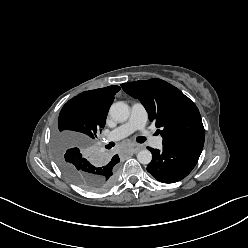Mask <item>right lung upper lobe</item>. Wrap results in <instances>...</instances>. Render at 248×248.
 Listing matches in <instances>:
<instances>
[{
    "mask_svg": "<svg viewBox=\"0 0 248 248\" xmlns=\"http://www.w3.org/2000/svg\"><path fill=\"white\" fill-rule=\"evenodd\" d=\"M120 90L119 86H108L105 88L85 91L78 96L85 102V107L91 113L107 117L109 108L114 100V95ZM112 161L118 162L119 158L115 155Z\"/></svg>",
    "mask_w": 248,
    "mask_h": 248,
    "instance_id": "1",
    "label": "right lung upper lobe"
}]
</instances>
